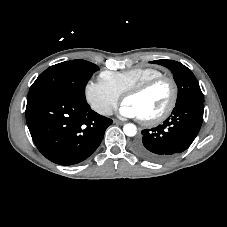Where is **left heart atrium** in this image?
<instances>
[{
    "label": "left heart atrium",
    "mask_w": 227,
    "mask_h": 227,
    "mask_svg": "<svg viewBox=\"0 0 227 227\" xmlns=\"http://www.w3.org/2000/svg\"><path fill=\"white\" fill-rule=\"evenodd\" d=\"M119 114L125 118H140L138 111L128 103L123 102Z\"/></svg>",
    "instance_id": "obj_1"
}]
</instances>
